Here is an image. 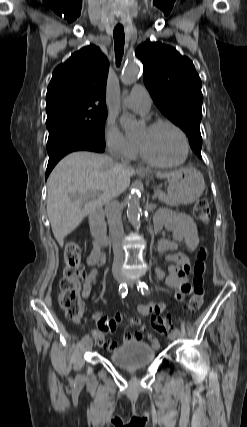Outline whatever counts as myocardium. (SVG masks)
Wrapping results in <instances>:
<instances>
[{
	"mask_svg": "<svg viewBox=\"0 0 247 427\" xmlns=\"http://www.w3.org/2000/svg\"><path fill=\"white\" fill-rule=\"evenodd\" d=\"M162 126H167V127L172 128L180 136V138L182 140V145H183V153H182L181 158L178 161L172 162V163H165V162H160V161L154 160L147 154V152L145 151V149L143 148V146L140 143H137L138 151H139L142 159L150 165L160 167V168L178 167V166L182 165L186 161V159L188 158L189 149H190L188 137H187L186 133L177 124H175L169 120H164V119L157 120L155 122L150 123L147 128L155 129V128H159Z\"/></svg>",
	"mask_w": 247,
	"mask_h": 427,
	"instance_id": "myocardium-1",
	"label": "myocardium"
}]
</instances>
